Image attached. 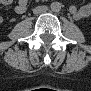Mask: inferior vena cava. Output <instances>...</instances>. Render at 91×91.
<instances>
[{"instance_id":"1","label":"inferior vena cava","mask_w":91,"mask_h":91,"mask_svg":"<svg viewBox=\"0 0 91 91\" xmlns=\"http://www.w3.org/2000/svg\"><path fill=\"white\" fill-rule=\"evenodd\" d=\"M48 10L47 6H38L36 8L33 9V13L34 14H40V13H44Z\"/></svg>"}]
</instances>
